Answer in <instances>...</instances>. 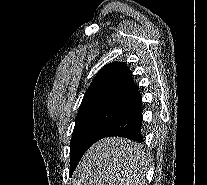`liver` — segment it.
I'll list each match as a JSON object with an SVG mask.
<instances>
[{
  "mask_svg": "<svg viewBox=\"0 0 207 185\" xmlns=\"http://www.w3.org/2000/svg\"><path fill=\"white\" fill-rule=\"evenodd\" d=\"M139 143L107 137L92 145L75 169L74 185H144L147 165Z\"/></svg>",
  "mask_w": 207,
  "mask_h": 185,
  "instance_id": "6515ba94",
  "label": "liver"
}]
</instances>
